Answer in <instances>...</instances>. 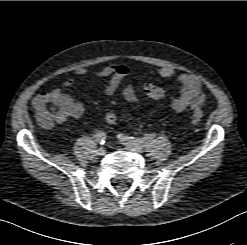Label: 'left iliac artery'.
Returning <instances> with one entry per match:
<instances>
[{"instance_id": "left-iliac-artery-1", "label": "left iliac artery", "mask_w": 247, "mask_h": 245, "mask_svg": "<svg viewBox=\"0 0 247 245\" xmlns=\"http://www.w3.org/2000/svg\"><path fill=\"white\" fill-rule=\"evenodd\" d=\"M155 136H156L155 133L145 134L144 137H129V136L120 134L118 135V138L125 143L140 145L143 147L146 144H148L150 141H152L155 138Z\"/></svg>"}]
</instances>
